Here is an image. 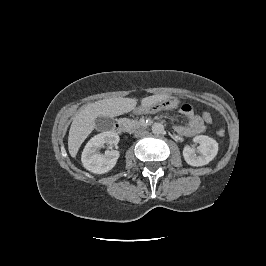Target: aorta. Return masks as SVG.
Wrapping results in <instances>:
<instances>
[{
  "mask_svg": "<svg viewBox=\"0 0 266 266\" xmlns=\"http://www.w3.org/2000/svg\"><path fill=\"white\" fill-rule=\"evenodd\" d=\"M152 132H153V134H157V135L158 134H162L164 132L163 124L162 123H158V122L154 123L152 125Z\"/></svg>",
  "mask_w": 266,
  "mask_h": 266,
  "instance_id": "obj_1",
  "label": "aorta"
}]
</instances>
